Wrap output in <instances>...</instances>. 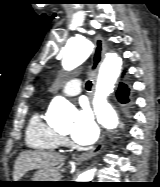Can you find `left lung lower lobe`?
Segmentation results:
<instances>
[{
  "mask_svg": "<svg viewBox=\"0 0 160 187\" xmlns=\"http://www.w3.org/2000/svg\"><path fill=\"white\" fill-rule=\"evenodd\" d=\"M129 91L130 89L126 84L120 83L119 88L117 90L116 96L120 103L128 105L130 103L129 99Z\"/></svg>",
  "mask_w": 160,
  "mask_h": 187,
  "instance_id": "1",
  "label": "left lung lower lobe"
}]
</instances>
